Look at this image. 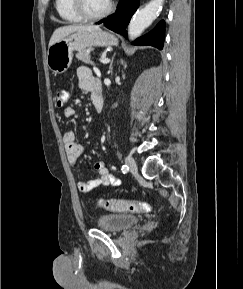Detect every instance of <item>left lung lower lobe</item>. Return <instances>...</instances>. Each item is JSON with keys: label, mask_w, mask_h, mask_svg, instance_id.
Segmentation results:
<instances>
[{"label": "left lung lower lobe", "mask_w": 243, "mask_h": 289, "mask_svg": "<svg viewBox=\"0 0 243 289\" xmlns=\"http://www.w3.org/2000/svg\"><path fill=\"white\" fill-rule=\"evenodd\" d=\"M139 4L140 0H119V5L116 12L98 22V24L103 22L104 25L110 30L127 37L125 31L126 26L130 22L134 12L139 7ZM164 31V21H160L152 31L138 38L135 42H133V44L151 45L161 50L164 44Z\"/></svg>", "instance_id": "left-lung-lower-lobe-1"}]
</instances>
